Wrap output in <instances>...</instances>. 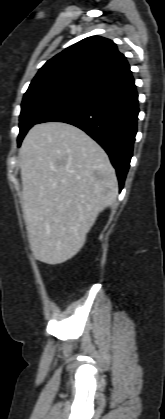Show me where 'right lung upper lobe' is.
<instances>
[{"label": "right lung upper lobe", "instance_id": "obj_1", "mask_svg": "<svg viewBox=\"0 0 165 419\" xmlns=\"http://www.w3.org/2000/svg\"><path fill=\"white\" fill-rule=\"evenodd\" d=\"M130 66L109 39L88 37L47 61L26 92L52 86L76 89L85 94L130 74Z\"/></svg>", "mask_w": 165, "mask_h": 419}]
</instances>
